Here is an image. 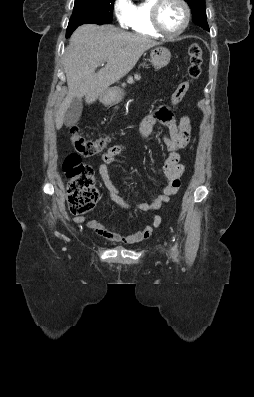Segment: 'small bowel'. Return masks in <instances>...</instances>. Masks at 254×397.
I'll return each instance as SVG.
<instances>
[{"label":"small bowel","instance_id":"small-bowel-1","mask_svg":"<svg viewBox=\"0 0 254 397\" xmlns=\"http://www.w3.org/2000/svg\"><path fill=\"white\" fill-rule=\"evenodd\" d=\"M156 123L162 124L168 129V135L159 138L162 145L169 151V156L163 165V172L167 183L159 188L157 196L149 203H139L131 205L128 203L118 188L114 185L109 165L116 161V158L123 152L124 147L114 145L102 154V161L98 167L100 177L103 182V190L106 195L118 206L126 210H138L149 212L158 210L164 202H167L180 188L181 176L185 171V165L181 161L180 150L187 146L190 140L191 125L187 116L176 118L170 109L164 105L157 107L153 112L146 115L140 124V135L143 139L152 136L153 127ZM86 217H75V223H81ZM161 223L159 216H154L144 229L122 235L120 226L109 225L96 219L87 222V226L95 234L103 237L109 242L137 243L148 239L154 228Z\"/></svg>","mask_w":254,"mask_h":397}]
</instances>
